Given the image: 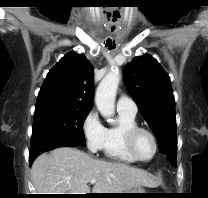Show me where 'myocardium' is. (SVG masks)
I'll return each mask as SVG.
<instances>
[{
  "label": "myocardium",
  "mask_w": 208,
  "mask_h": 198,
  "mask_svg": "<svg viewBox=\"0 0 208 198\" xmlns=\"http://www.w3.org/2000/svg\"><path fill=\"white\" fill-rule=\"evenodd\" d=\"M140 132H145L148 135H150V137L152 138L153 142H154V146H155V150L153 155L150 158H142L138 152L136 151L135 148V139L136 136L140 133ZM125 143H126V147L128 149V151L130 152V154L137 160L140 162H149L151 160H153L159 150V143H158V139L156 137V135L154 134L153 131H151L149 128L146 127H142V126H134L130 129H128L125 133Z\"/></svg>",
  "instance_id": "1"
}]
</instances>
